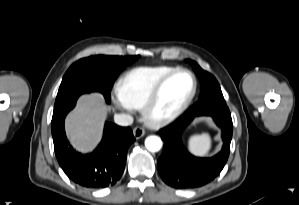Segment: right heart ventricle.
<instances>
[{
    "mask_svg": "<svg viewBox=\"0 0 299 205\" xmlns=\"http://www.w3.org/2000/svg\"><path fill=\"white\" fill-rule=\"evenodd\" d=\"M171 66H140L127 71L117 83V94L131 109H141L156 84L175 70Z\"/></svg>",
    "mask_w": 299,
    "mask_h": 205,
    "instance_id": "1",
    "label": "right heart ventricle"
}]
</instances>
